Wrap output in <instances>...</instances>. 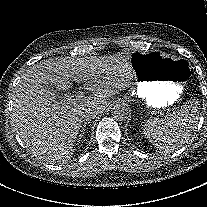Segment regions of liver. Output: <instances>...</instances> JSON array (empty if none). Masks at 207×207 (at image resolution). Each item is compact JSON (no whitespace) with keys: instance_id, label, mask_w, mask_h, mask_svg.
I'll use <instances>...</instances> for the list:
<instances>
[{"instance_id":"1","label":"liver","mask_w":207,"mask_h":207,"mask_svg":"<svg viewBox=\"0 0 207 207\" xmlns=\"http://www.w3.org/2000/svg\"><path fill=\"white\" fill-rule=\"evenodd\" d=\"M81 75L96 81L94 68L67 59L44 60L31 66L22 77L13 100L11 127L29 149L45 147L67 155L74 152L83 118L88 111L95 113L92 105L96 97L85 98L83 94L68 92L72 82Z\"/></svg>"}]
</instances>
